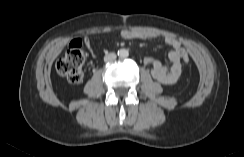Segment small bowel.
Wrapping results in <instances>:
<instances>
[{"instance_id": "1", "label": "small bowel", "mask_w": 244, "mask_h": 157, "mask_svg": "<svg viewBox=\"0 0 244 157\" xmlns=\"http://www.w3.org/2000/svg\"><path fill=\"white\" fill-rule=\"evenodd\" d=\"M121 37L126 40H158V36L155 34L129 30H123L121 32ZM163 41L171 48V51L168 55L170 65H164L153 58H147L145 62L150 66L151 75L155 80L164 85H172L175 84L180 78L182 55L184 54L185 50L182 48L181 44L172 37H164ZM84 44L93 54L91 40L89 37L84 39Z\"/></svg>"}]
</instances>
